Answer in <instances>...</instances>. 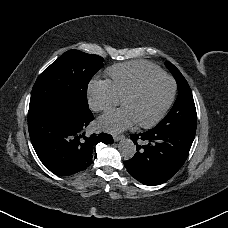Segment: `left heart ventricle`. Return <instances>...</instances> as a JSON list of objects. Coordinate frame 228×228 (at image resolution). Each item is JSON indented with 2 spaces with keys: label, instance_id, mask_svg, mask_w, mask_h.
Instances as JSON below:
<instances>
[{
  "label": "left heart ventricle",
  "instance_id": "left-heart-ventricle-1",
  "mask_svg": "<svg viewBox=\"0 0 228 228\" xmlns=\"http://www.w3.org/2000/svg\"><path fill=\"white\" fill-rule=\"evenodd\" d=\"M170 83L166 79H160L153 83L147 91L138 97L125 100V106L129 108L138 122L151 121L161 110L168 98Z\"/></svg>",
  "mask_w": 228,
  "mask_h": 228
}]
</instances>
